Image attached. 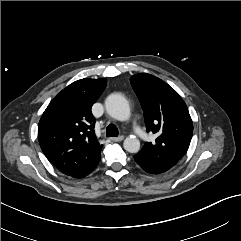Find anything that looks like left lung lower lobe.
<instances>
[{"mask_svg": "<svg viewBox=\"0 0 241 241\" xmlns=\"http://www.w3.org/2000/svg\"><path fill=\"white\" fill-rule=\"evenodd\" d=\"M144 171H146L148 173H152V174H160V173L166 172L167 170H164V169H146Z\"/></svg>", "mask_w": 241, "mask_h": 241, "instance_id": "obj_1", "label": "left lung lower lobe"}]
</instances>
